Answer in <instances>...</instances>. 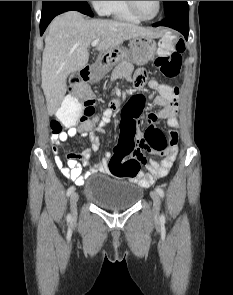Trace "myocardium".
<instances>
[{
	"label": "myocardium",
	"mask_w": 233,
	"mask_h": 295,
	"mask_svg": "<svg viewBox=\"0 0 233 295\" xmlns=\"http://www.w3.org/2000/svg\"><path fill=\"white\" fill-rule=\"evenodd\" d=\"M127 6L130 10V12L137 17L140 21H151L154 20L155 18L158 17V15L161 12V6H162V1H157V11L156 13L152 16V17H143L139 14V12L137 11L136 5H135V1H126Z\"/></svg>",
	"instance_id": "myocardium-1"
}]
</instances>
